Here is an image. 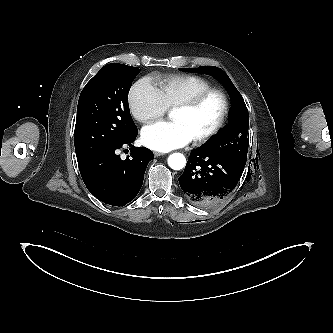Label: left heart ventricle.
I'll return each instance as SVG.
<instances>
[{
    "label": "left heart ventricle",
    "instance_id": "obj_1",
    "mask_svg": "<svg viewBox=\"0 0 333 333\" xmlns=\"http://www.w3.org/2000/svg\"><path fill=\"white\" fill-rule=\"evenodd\" d=\"M223 103L219 96L212 95L194 110H174L171 118L181 123L192 140L214 127L222 113Z\"/></svg>",
    "mask_w": 333,
    "mask_h": 333
}]
</instances>
